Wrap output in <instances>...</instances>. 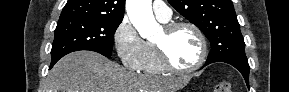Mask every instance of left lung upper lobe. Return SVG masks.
Listing matches in <instances>:
<instances>
[{
  "instance_id": "obj_1",
  "label": "left lung upper lobe",
  "mask_w": 289,
  "mask_h": 92,
  "mask_svg": "<svg viewBox=\"0 0 289 92\" xmlns=\"http://www.w3.org/2000/svg\"><path fill=\"white\" fill-rule=\"evenodd\" d=\"M211 42L206 62L221 58L247 60L245 43L231 0H168Z\"/></svg>"
}]
</instances>
